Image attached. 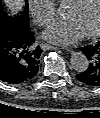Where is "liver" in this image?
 <instances>
[{
	"label": "liver",
	"mask_w": 100,
	"mask_h": 118,
	"mask_svg": "<svg viewBox=\"0 0 100 118\" xmlns=\"http://www.w3.org/2000/svg\"><path fill=\"white\" fill-rule=\"evenodd\" d=\"M5 3L11 11H19L24 5V0H5Z\"/></svg>",
	"instance_id": "liver-1"
}]
</instances>
